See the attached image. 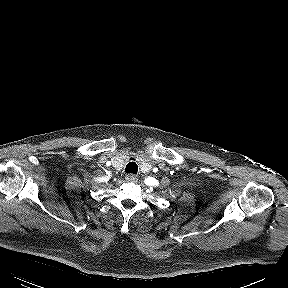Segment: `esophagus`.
Wrapping results in <instances>:
<instances>
[{
	"label": "esophagus",
	"instance_id": "34e87169",
	"mask_svg": "<svg viewBox=\"0 0 288 288\" xmlns=\"http://www.w3.org/2000/svg\"><path fill=\"white\" fill-rule=\"evenodd\" d=\"M125 179L127 181L135 182V181H137V176L134 174H127Z\"/></svg>",
	"mask_w": 288,
	"mask_h": 288
}]
</instances>
